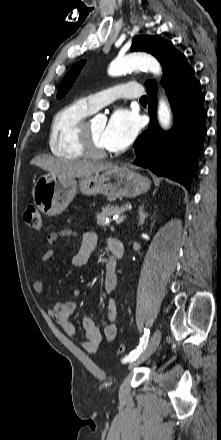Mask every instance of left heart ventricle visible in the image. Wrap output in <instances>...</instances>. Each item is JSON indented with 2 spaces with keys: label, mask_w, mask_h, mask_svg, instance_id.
Wrapping results in <instances>:
<instances>
[{
  "label": "left heart ventricle",
  "mask_w": 221,
  "mask_h": 440,
  "mask_svg": "<svg viewBox=\"0 0 221 440\" xmlns=\"http://www.w3.org/2000/svg\"><path fill=\"white\" fill-rule=\"evenodd\" d=\"M105 126H106L105 123L100 122V121H91L89 123V130H90L91 136H92L95 144L99 148L104 149V150H106V148L104 147L103 142H102V134L105 129Z\"/></svg>",
  "instance_id": "obj_1"
}]
</instances>
